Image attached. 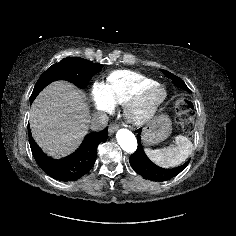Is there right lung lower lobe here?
Segmentation results:
<instances>
[{
	"label": "right lung lower lobe",
	"instance_id": "right-lung-lower-lobe-1",
	"mask_svg": "<svg viewBox=\"0 0 236 236\" xmlns=\"http://www.w3.org/2000/svg\"><path fill=\"white\" fill-rule=\"evenodd\" d=\"M28 131L31 151L37 164L52 178L65 182L79 179L92 168L97 156V147L108 136L107 128L89 133L75 152L57 160L47 156L33 140L29 127Z\"/></svg>",
	"mask_w": 236,
	"mask_h": 236
}]
</instances>
